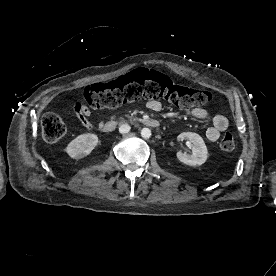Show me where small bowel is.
Returning a JSON list of instances; mask_svg holds the SVG:
<instances>
[{
  "mask_svg": "<svg viewBox=\"0 0 276 276\" xmlns=\"http://www.w3.org/2000/svg\"><path fill=\"white\" fill-rule=\"evenodd\" d=\"M147 107L152 111H160L162 104L159 101L152 100L147 103ZM71 112L75 115L82 127L87 130L93 129V124L91 122V110L90 108L82 103L75 102L71 105ZM187 114L200 119L206 120L210 117L209 112L204 108H193L187 111ZM229 127V121L226 116L217 114L211 118V126L206 131V137L209 141L214 142L218 140L221 133L227 130Z\"/></svg>",
  "mask_w": 276,
  "mask_h": 276,
  "instance_id": "obj_1",
  "label": "small bowel"
}]
</instances>
